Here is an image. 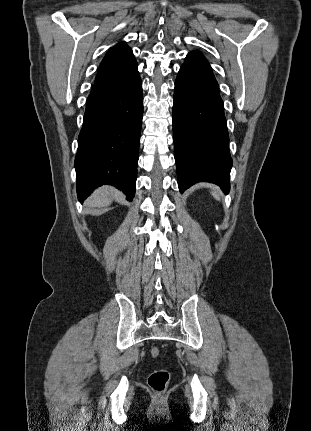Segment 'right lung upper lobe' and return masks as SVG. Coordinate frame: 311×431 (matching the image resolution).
<instances>
[{
	"label": "right lung upper lobe",
	"mask_w": 311,
	"mask_h": 431,
	"mask_svg": "<svg viewBox=\"0 0 311 431\" xmlns=\"http://www.w3.org/2000/svg\"><path fill=\"white\" fill-rule=\"evenodd\" d=\"M132 50L125 42L112 47L103 58L95 82L118 77L136 66Z\"/></svg>",
	"instance_id": "obj_1"
}]
</instances>
